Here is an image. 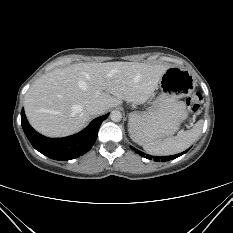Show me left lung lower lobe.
<instances>
[{"mask_svg":"<svg viewBox=\"0 0 233 233\" xmlns=\"http://www.w3.org/2000/svg\"><path fill=\"white\" fill-rule=\"evenodd\" d=\"M133 150H135V152L139 155H141L142 157H145V154L137 149H134L132 147ZM188 150L182 152V153H179V154H176V155H172V156H162V157H159V156H151V155H146V158L147 159H154V161H169V160H172V159H175L181 155H183L184 153H186Z\"/></svg>","mask_w":233,"mask_h":233,"instance_id":"left-lung-lower-lobe-1","label":"left lung lower lobe"}]
</instances>
